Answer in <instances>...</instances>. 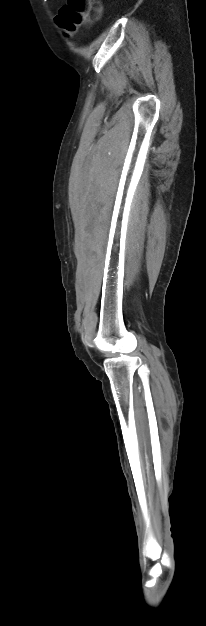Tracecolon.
Returning <instances> with one entry per match:
<instances>
[{
  "instance_id": "5ec220e1",
  "label": "colon",
  "mask_w": 206,
  "mask_h": 626,
  "mask_svg": "<svg viewBox=\"0 0 206 626\" xmlns=\"http://www.w3.org/2000/svg\"><path fill=\"white\" fill-rule=\"evenodd\" d=\"M100 14L95 0H67L57 16L58 24L69 34L75 33L83 24L91 23Z\"/></svg>"
}]
</instances>
